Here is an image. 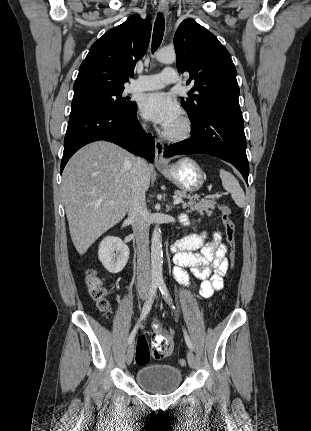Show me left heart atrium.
<instances>
[{
    "label": "left heart atrium",
    "mask_w": 311,
    "mask_h": 431,
    "mask_svg": "<svg viewBox=\"0 0 311 431\" xmlns=\"http://www.w3.org/2000/svg\"><path fill=\"white\" fill-rule=\"evenodd\" d=\"M141 113L160 125L166 131L180 119V107L177 101L165 92H155L143 97Z\"/></svg>",
    "instance_id": "39dd6f15"
}]
</instances>
